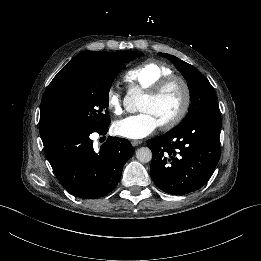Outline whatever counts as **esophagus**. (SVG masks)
Wrapping results in <instances>:
<instances>
[{
    "mask_svg": "<svg viewBox=\"0 0 261 261\" xmlns=\"http://www.w3.org/2000/svg\"><path fill=\"white\" fill-rule=\"evenodd\" d=\"M141 143H142L141 140H132V141H131V144H132L133 146H138V145H140Z\"/></svg>",
    "mask_w": 261,
    "mask_h": 261,
    "instance_id": "esophagus-1",
    "label": "esophagus"
}]
</instances>
